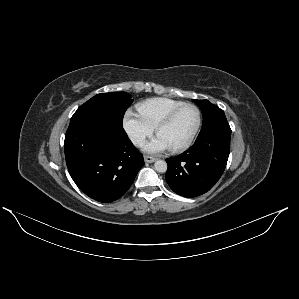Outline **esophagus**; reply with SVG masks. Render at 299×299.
Listing matches in <instances>:
<instances>
[{"mask_svg":"<svg viewBox=\"0 0 299 299\" xmlns=\"http://www.w3.org/2000/svg\"><path fill=\"white\" fill-rule=\"evenodd\" d=\"M144 161H145L146 163H153V162L156 161V158H154V157H150V156H145V157H144Z\"/></svg>","mask_w":299,"mask_h":299,"instance_id":"esophagus-1","label":"esophagus"}]
</instances>
